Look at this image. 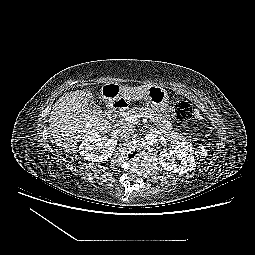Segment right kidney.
Masks as SVG:
<instances>
[{
    "label": "right kidney",
    "instance_id": "ca27d5eb",
    "mask_svg": "<svg viewBox=\"0 0 255 255\" xmlns=\"http://www.w3.org/2000/svg\"><path fill=\"white\" fill-rule=\"evenodd\" d=\"M117 145V140L110 139L101 135L90 136L86 138L79 146L80 155L83 159L92 162H102L112 156ZM105 148L99 155L98 150Z\"/></svg>",
    "mask_w": 255,
    "mask_h": 255
}]
</instances>
